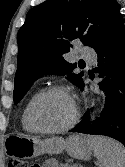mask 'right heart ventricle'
Wrapping results in <instances>:
<instances>
[{"label": "right heart ventricle", "instance_id": "right-heart-ventricle-1", "mask_svg": "<svg viewBox=\"0 0 125 167\" xmlns=\"http://www.w3.org/2000/svg\"><path fill=\"white\" fill-rule=\"evenodd\" d=\"M38 94V92L34 93L30 98L29 100L26 102L23 110H22V113H21V124H22V127L24 130L28 131V132H33V128L29 122V119H28V109H29V106L32 102V100L34 99V97Z\"/></svg>", "mask_w": 125, "mask_h": 167}]
</instances>
